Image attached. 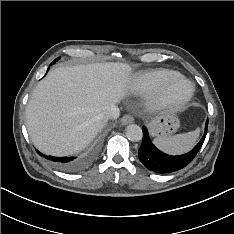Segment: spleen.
Instances as JSON below:
<instances>
[{"label": "spleen", "instance_id": "obj_1", "mask_svg": "<svg viewBox=\"0 0 234 234\" xmlns=\"http://www.w3.org/2000/svg\"><path fill=\"white\" fill-rule=\"evenodd\" d=\"M200 130L177 134L174 136L157 137L154 144L164 152L170 154L185 153L192 149L199 137Z\"/></svg>", "mask_w": 234, "mask_h": 234}]
</instances>
